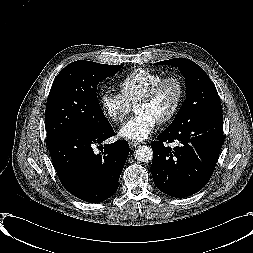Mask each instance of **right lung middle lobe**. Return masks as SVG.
Returning a JSON list of instances; mask_svg holds the SVG:
<instances>
[{"mask_svg": "<svg viewBox=\"0 0 253 253\" xmlns=\"http://www.w3.org/2000/svg\"><path fill=\"white\" fill-rule=\"evenodd\" d=\"M123 66L78 60L60 71L46 105L48 148L76 129L100 128L109 123L97 99V85Z\"/></svg>", "mask_w": 253, "mask_h": 253, "instance_id": "right-lung-middle-lobe-1", "label": "right lung middle lobe"}]
</instances>
